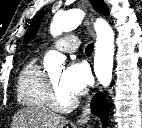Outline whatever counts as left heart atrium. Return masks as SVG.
<instances>
[{
	"instance_id": "left-heart-atrium-1",
	"label": "left heart atrium",
	"mask_w": 142,
	"mask_h": 128,
	"mask_svg": "<svg viewBox=\"0 0 142 128\" xmlns=\"http://www.w3.org/2000/svg\"><path fill=\"white\" fill-rule=\"evenodd\" d=\"M91 82V74L84 63L72 62L60 77V87L71 97L82 94Z\"/></svg>"
}]
</instances>
